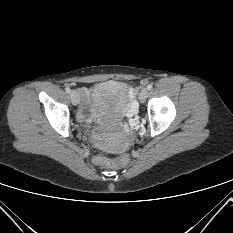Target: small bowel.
I'll list each match as a JSON object with an SVG mask.
<instances>
[{"instance_id":"small-bowel-1","label":"small bowel","mask_w":233,"mask_h":233,"mask_svg":"<svg viewBox=\"0 0 233 233\" xmlns=\"http://www.w3.org/2000/svg\"><path fill=\"white\" fill-rule=\"evenodd\" d=\"M83 95H84V97H85L86 99H88L89 96H90V91H89V90H84V91H83Z\"/></svg>"}]
</instances>
